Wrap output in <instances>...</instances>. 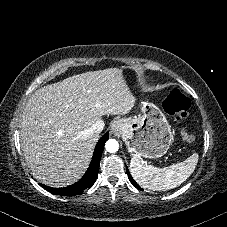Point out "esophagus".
<instances>
[{"label":"esophagus","instance_id":"esophagus-1","mask_svg":"<svg viewBox=\"0 0 227 227\" xmlns=\"http://www.w3.org/2000/svg\"><path fill=\"white\" fill-rule=\"evenodd\" d=\"M121 125H122V121L120 119L113 121L111 125V132H114V133L118 132L120 130Z\"/></svg>","mask_w":227,"mask_h":227}]
</instances>
